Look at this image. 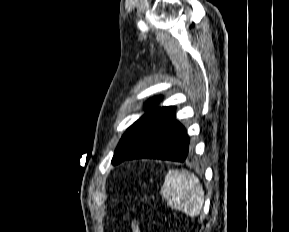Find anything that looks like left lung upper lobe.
<instances>
[{
	"label": "left lung upper lobe",
	"instance_id": "1",
	"mask_svg": "<svg viewBox=\"0 0 289 232\" xmlns=\"http://www.w3.org/2000/svg\"><path fill=\"white\" fill-rule=\"evenodd\" d=\"M160 99V97L150 99L146 103V113L124 133L115 150L113 165L124 161L163 126L175 119L174 107H155Z\"/></svg>",
	"mask_w": 289,
	"mask_h": 232
}]
</instances>
